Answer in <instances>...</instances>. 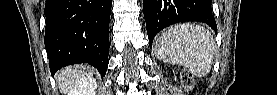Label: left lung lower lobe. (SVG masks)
Listing matches in <instances>:
<instances>
[{
    "label": "left lung lower lobe",
    "instance_id": "0a47b994",
    "mask_svg": "<svg viewBox=\"0 0 277 95\" xmlns=\"http://www.w3.org/2000/svg\"><path fill=\"white\" fill-rule=\"evenodd\" d=\"M143 11L150 47L159 31L178 22L201 21L216 30L211 0H143Z\"/></svg>",
    "mask_w": 277,
    "mask_h": 95
}]
</instances>
